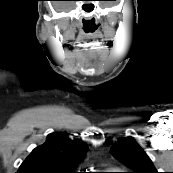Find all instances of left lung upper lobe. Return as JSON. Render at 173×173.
<instances>
[{
    "mask_svg": "<svg viewBox=\"0 0 173 173\" xmlns=\"http://www.w3.org/2000/svg\"><path fill=\"white\" fill-rule=\"evenodd\" d=\"M110 151L132 169V173H158L147 154L132 137L119 140Z\"/></svg>",
    "mask_w": 173,
    "mask_h": 173,
    "instance_id": "5c2ea615",
    "label": "left lung upper lobe"
}]
</instances>
